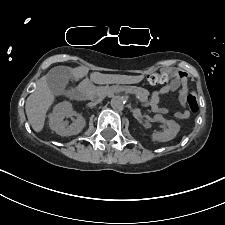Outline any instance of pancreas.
<instances>
[{
	"instance_id": "cf45deb5",
	"label": "pancreas",
	"mask_w": 225,
	"mask_h": 225,
	"mask_svg": "<svg viewBox=\"0 0 225 225\" xmlns=\"http://www.w3.org/2000/svg\"><path fill=\"white\" fill-rule=\"evenodd\" d=\"M119 91H126L128 93L135 94L141 103H147L148 97L150 95L148 90L141 87H137V86L116 85V86H101V87L95 88V93L101 96H105V95H108L114 92H119Z\"/></svg>"
}]
</instances>
